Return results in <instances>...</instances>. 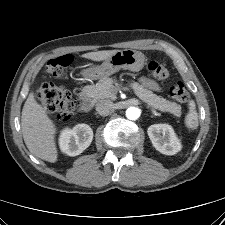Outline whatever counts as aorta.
<instances>
[{"label":"aorta","instance_id":"obj_1","mask_svg":"<svg viewBox=\"0 0 225 225\" xmlns=\"http://www.w3.org/2000/svg\"><path fill=\"white\" fill-rule=\"evenodd\" d=\"M126 117L129 120H137L140 117V110L137 107H129L126 110Z\"/></svg>","mask_w":225,"mask_h":225}]
</instances>
